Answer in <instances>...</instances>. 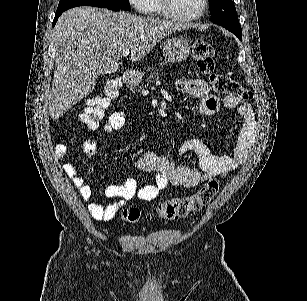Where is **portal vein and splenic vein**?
<instances>
[{
    "instance_id": "portal-vein-and-splenic-vein-1",
    "label": "portal vein and splenic vein",
    "mask_w": 307,
    "mask_h": 301,
    "mask_svg": "<svg viewBox=\"0 0 307 301\" xmlns=\"http://www.w3.org/2000/svg\"><path fill=\"white\" fill-rule=\"evenodd\" d=\"M129 52H130L129 48H123L122 50L123 56H128Z\"/></svg>"
}]
</instances>
